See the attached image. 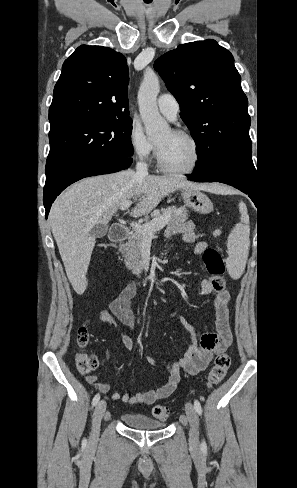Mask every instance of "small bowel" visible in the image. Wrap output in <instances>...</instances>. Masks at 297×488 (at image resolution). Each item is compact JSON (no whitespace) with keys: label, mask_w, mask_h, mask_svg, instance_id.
Instances as JSON below:
<instances>
[{"label":"small bowel","mask_w":297,"mask_h":488,"mask_svg":"<svg viewBox=\"0 0 297 488\" xmlns=\"http://www.w3.org/2000/svg\"><path fill=\"white\" fill-rule=\"evenodd\" d=\"M166 237L179 234L185 243H194V252L203 254L207 250V244L199 241L198 234L192 222H186L181 225H172L166 229ZM136 284L129 282L109 304V309L99 313V319L103 322L114 325H122L132 329L135 325V315L132 309V299L136 294ZM202 294L214 293L213 309L215 313V329L213 332L206 333L201 337L200 344H192L186 350L179 360L159 361L151 356L145 359L151 366H163L166 370L167 377L165 382L158 388L151 390H141L134 396L129 393L115 392L111 395L112 400H121L128 404H152L158 400L167 398L176 389L182 372L195 375L209 365L214 355L222 352L231 342L229 329V301L230 296L227 291L217 292L212 285L211 280L202 279L200 282ZM172 322H181L193 335L192 327L186 322V319L177 313L171 315ZM121 339L124 347L131 352L133 342L126 332H122ZM99 375L92 374L86 377V381L97 391L106 393L110 390V383L98 382Z\"/></svg>","instance_id":"small-bowel-1"}]
</instances>
